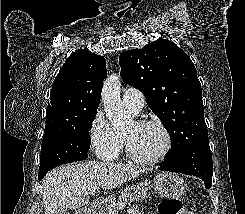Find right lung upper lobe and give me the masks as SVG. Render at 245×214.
<instances>
[{"label": "right lung upper lobe", "mask_w": 245, "mask_h": 214, "mask_svg": "<svg viewBox=\"0 0 245 214\" xmlns=\"http://www.w3.org/2000/svg\"><path fill=\"white\" fill-rule=\"evenodd\" d=\"M106 74L104 57L88 50L73 52L54 80L44 135L75 126L87 113L97 111Z\"/></svg>", "instance_id": "1"}]
</instances>
